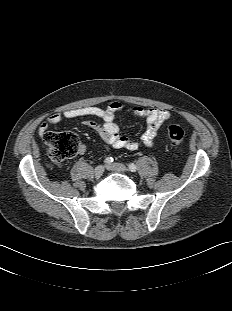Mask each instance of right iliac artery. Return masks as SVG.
Here are the masks:
<instances>
[{"label": "right iliac artery", "instance_id": "obj_1", "mask_svg": "<svg viewBox=\"0 0 232 311\" xmlns=\"http://www.w3.org/2000/svg\"><path fill=\"white\" fill-rule=\"evenodd\" d=\"M107 165H110L113 162V158L112 157H107L104 161Z\"/></svg>", "mask_w": 232, "mask_h": 311}]
</instances>
